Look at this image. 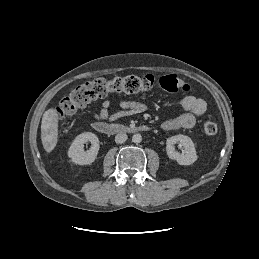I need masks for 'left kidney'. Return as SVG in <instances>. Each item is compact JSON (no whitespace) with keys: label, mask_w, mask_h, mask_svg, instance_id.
Returning a JSON list of instances; mask_svg holds the SVG:
<instances>
[{"label":"left kidney","mask_w":259,"mask_h":259,"mask_svg":"<svg viewBox=\"0 0 259 259\" xmlns=\"http://www.w3.org/2000/svg\"><path fill=\"white\" fill-rule=\"evenodd\" d=\"M178 143L184 148V153L180 154L175 150ZM166 152L169 158L176 160L180 165H191L197 160L196 149L193 141L186 135H175L167 139Z\"/></svg>","instance_id":"5707ae66"}]
</instances>
